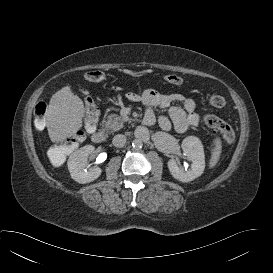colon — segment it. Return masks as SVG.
I'll return each instance as SVG.
<instances>
[{
  "instance_id": "colon-1",
  "label": "colon",
  "mask_w": 273,
  "mask_h": 273,
  "mask_svg": "<svg viewBox=\"0 0 273 273\" xmlns=\"http://www.w3.org/2000/svg\"><path fill=\"white\" fill-rule=\"evenodd\" d=\"M104 78H105L104 72L98 69H92L85 73V79L91 83L102 82ZM163 79L164 81L172 85H181L183 83V79L178 75H166L163 77ZM82 93L84 96L86 108L84 128L87 131H92L93 129H95L98 122L99 108L94 99L89 95V93L86 90H82ZM209 104L216 108H222L225 106L226 101L220 95H212L209 99ZM46 111L47 104L44 101H39L34 109L35 126L38 129H42L45 126ZM204 122L208 127L216 130L227 143H233L235 141L236 136L233 128L219 117L207 114L204 116ZM81 140H82L81 134H76L71 139V141H75L76 143L81 142ZM70 147L71 142H68L65 145L56 146L51 150L50 157L52 158L57 153L67 151L70 149Z\"/></svg>"
}]
</instances>
